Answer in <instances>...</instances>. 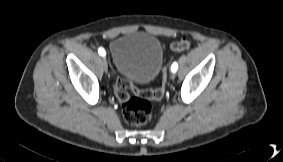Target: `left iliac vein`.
I'll return each mask as SVG.
<instances>
[{
  "label": "left iliac vein",
  "mask_w": 283,
  "mask_h": 162,
  "mask_svg": "<svg viewBox=\"0 0 283 162\" xmlns=\"http://www.w3.org/2000/svg\"><path fill=\"white\" fill-rule=\"evenodd\" d=\"M171 78H172V79L175 78V72L172 73Z\"/></svg>",
  "instance_id": "4c4485c4"
}]
</instances>
